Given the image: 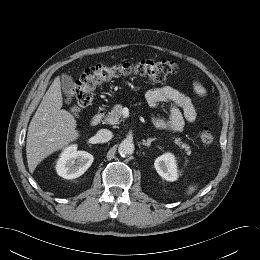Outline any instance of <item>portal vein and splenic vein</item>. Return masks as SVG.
<instances>
[{
    "label": "portal vein and splenic vein",
    "instance_id": "obj_1",
    "mask_svg": "<svg viewBox=\"0 0 260 260\" xmlns=\"http://www.w3.org/2000/svg\"><path fill=\"white\" fill-rule=\"evenodd\" d=\"M122 115H123L124 118H127V117H128V115H129V111H128L127 108L123 109V111H122Z\"/></svg>",
    "mask_w": 260,
    "mask_h": 260
}]
</instances>
